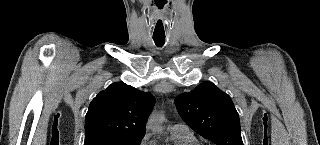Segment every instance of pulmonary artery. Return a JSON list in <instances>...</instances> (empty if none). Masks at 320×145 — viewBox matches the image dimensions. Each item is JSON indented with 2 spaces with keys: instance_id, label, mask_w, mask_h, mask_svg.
<instances>
[{
  "instance_id": "1",
  "label": "pulmonary artery",
  "mask_w": 320,
  "mask_h": 145,
  "mask_svg": "<svg viewBox=\"0 0 320 145\" xmlns=\"http://www.w3.org/2000/svg\"><path fill=\"white\" fill-rule=\"evenodd\" d=\"M169 131H170V133H189V132H191L190 128L186 124H183V123H176V124L169 126Z\"/></svg>"
}]
</instances>
